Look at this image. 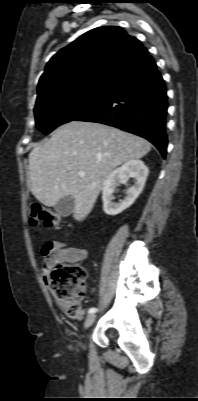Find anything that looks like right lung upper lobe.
<instances>
[{"mask_svg":"<svg viewBox=\"0 0 198 401\" xmlns=\"http://www.w3.org/2000/svg\"><path fill=\"white\" fill-rule=\"evenodd\" d=\"M148 54L138 39L120 27L90 30L50 59L38 83L37 99L85 84H110Z\"/></svg>","mask_w":198,"mask_h":401,"instance_id":"obj_1","label":"right lung upper lobe"}]
</instances>
